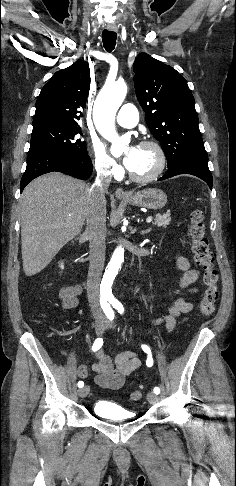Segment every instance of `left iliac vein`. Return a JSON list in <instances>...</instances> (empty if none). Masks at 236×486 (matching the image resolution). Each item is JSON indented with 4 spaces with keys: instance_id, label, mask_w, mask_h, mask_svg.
<instances>
[{
    "instance_id": "1",
    "label": "left iliac vein",
    "mask_w": 236,
    "mask_h": 486,
    "mask_svg": "<svg viewBox=\"0 0 236 486\" xmlns=\"http://www.w3.org/2000/svg\"><path fill=\"white\" fill-rule=\"evenodd\" d=\"M109 328H112L114 329L115 328V324L114 323H108L107 325ZM147 400L150 404H155L158 402L159 400V397L157 394H155L154 392H149L148 395H147Z\"/></svg>"
}]
</instances>
